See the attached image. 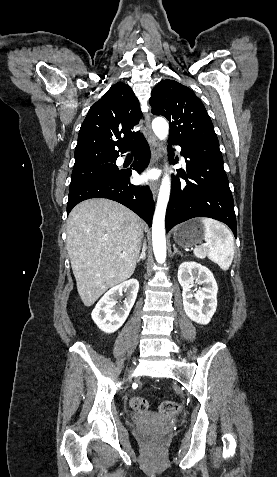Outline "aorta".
Listing matches in <instances>:
<instances>
[{
  "label": "aorta",
  "mask_w": 277,
  "mask_h": 477,
  "mask_svg": "<svg viewBox=\"0 0 277 477\" xmlns=\"http://www.w3.org/2000/svg\"><path fill=\"white\" fill-rule=\"evenodd\" d=\"M155 135L160 140L168 136L169 126L165 119L157 117L152 122ZM170 197V177L165 175L160 186L152 224V242L155 258L158 263L166 260L165 214Z\"/></svg>",
  "instance_id": "aorta-1"
}]
</instances>
